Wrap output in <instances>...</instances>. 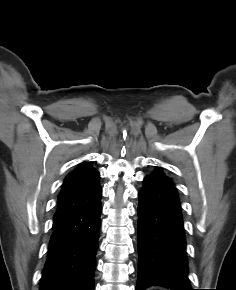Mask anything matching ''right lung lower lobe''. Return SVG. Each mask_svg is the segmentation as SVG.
Segmentation results:
<instances>
[{"label":"right lung lower lobe","instance_id":"obj_1","mask_svg":"<svg viewBox=\"0 0 236 290\" xmlns=\"http://www.w3.org/2000/svg\"><path fill=\"white\" fill-rule=\"evenodd\" d=\"M101 194L91 203L54 217L40 290H94Z\"/></svg>","mask_w":236,"mask_h":290}]
</instances>
